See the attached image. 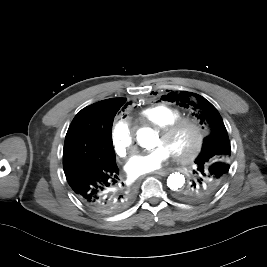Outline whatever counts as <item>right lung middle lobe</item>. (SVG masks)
<instances>
[{"mask_svg": "<svg viewBox=\"0 0 267 267\" xmlns=\"http://www.w3.org/2000/svg\"><path fill=\"white\" fill-rule=\"evenodd\" d=\"M119 109L120 106L113 107L107 112L105 122L111 127ZM111 131L104 138L94 137L85 126L70 125L64 143L63 167L65 174L95 162L115 161ZM82 132L89 134L90 139L88 138V142L83 141L80 146L82 150L76 151L75 147L78 145L74 140Z\"/></svg>", "mask_w": 267, "mask_h": 267, "instance_id": "right-lung-middle-lobe-1", "label": "right lung middle lobe"}]
</instances>
